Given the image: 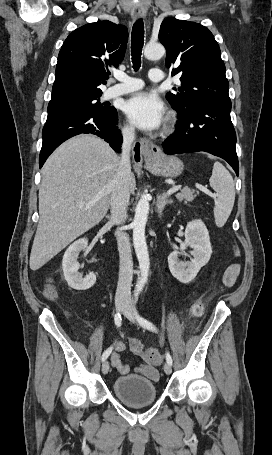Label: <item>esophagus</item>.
<instances>
[{
	"label": "esophagus",
	"mask_w": 272,
	"mask_h": 455,
	"mask_svg": "<svg viewBox=\"0 0 272 455\" xmlns=\"http://www.w3.org/2000/svg\"><path fill=\"white\" fill-rule=\"evenodd\" d=\"M146 11L142 5H135L133 7V17L142 18L145 17ZM162 151L159 146L151 143L148 139L142 138L139 143L135 146V157L134 163L138 167H142L143 163H149L156 160Z\"/></svg>",
	"instance_id": "1"
}]
</instances>
